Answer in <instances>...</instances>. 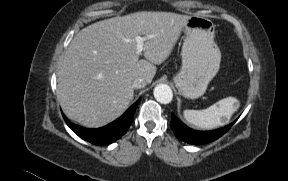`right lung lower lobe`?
<instances>
[{"label": "right lung lower lobe", "instance_id": "1", "mask_svg": "<svg viewBox=\"0 0 288 181\" xmlns=\"http://www.w3.org/2000/svg\"><path fill=\"white\" fill-rule=\"evenodd\" d=\"M140 103H134L120 118L114 122L96 129L84 128L76 125L64 117L66 124L80 138L94 145H109L121 138L131 126L135 110Z\"/></svg>", "mask_w": 288, "mask_h": 181}]
</instances>
